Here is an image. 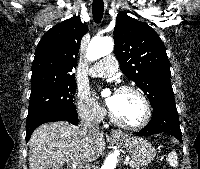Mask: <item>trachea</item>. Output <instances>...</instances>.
<instances>
[{
  "instance_id": "3493384b",
  "label": "trachea",
  "mask_w": 200,
  "mask_h": 169,
  "mask_svg": "<svg viewBox=\"0 0 200 169\" xmlns=\"http://www.w3.org/2000/svg\"><path fill=\"white\" fill-rule=\"evenodd\" d=\"M104 12L103 0H93L92 3V14L95 23H100Z\"/></svg>"
}]
</instances>
